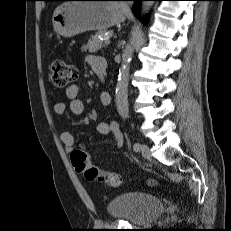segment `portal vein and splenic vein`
<instances>
[{
	"label": "portal vein and splenic vein",
	"instance_id": "1",
	"mask_svg": "<svg viewBox=\"0 0 231 231\" xmlns=\"http://www.w3.org/2000/svg\"><path fill=\"white\" fill-rule=\"evenodd\" d=\"M104 44H105V45H109V44H110V39H106V40L104 41Z\"/></svg>",
	"mask_w": 231,
	"mask_h": 231
}]
</instances>
